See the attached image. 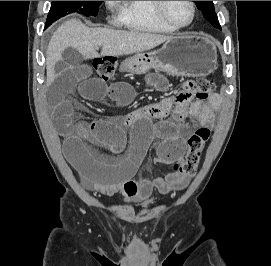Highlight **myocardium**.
<instances>
[{"label": "myocardium", "mask_w": 271, "mask_h": 266, "mask_svg": "<svg viewBox=\"0 0 271 266\" xmlns=\"http://www.w3.org/2000/svg\"><path fill=\"white\" fill-rule=\"evenodd\" d=\"M192 8V16L190 21L185 25H179L174 23L165 12V1H153V6L156 15L168 26L175 30L185 29L191 26L196 18L197 8L194 1H188Z\"/></svg>", "instance_id": "f54148a6"}]
</instances>
